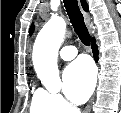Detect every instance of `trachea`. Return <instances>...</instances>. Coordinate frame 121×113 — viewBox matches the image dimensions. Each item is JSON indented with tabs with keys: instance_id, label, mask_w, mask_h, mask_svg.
<instances>
[{
	"instance_id": "obj_1",
	"label": "trachea",
	"mask_w": 121,
	"mask_h": 113,
	"mask_svg": "<svg viewBox=\"0 0 121 113\" xmlns=\"http://www.w3.org/2000/svg\"><path fill=\"white\" fill-rule=\"evenodd\" d=\"M70 22L80 38L81 42L90 45V34L85 25L83 15L79 9L77 0H63Z\"/></svg>"
}]
</instances>
